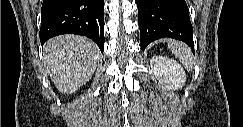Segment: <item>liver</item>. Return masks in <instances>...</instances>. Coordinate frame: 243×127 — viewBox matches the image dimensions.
<instances>
[{
    "mask_svg": "<svg viewBox=\"0 0 243 127\" xmlns=\"http://www.w3.org/2000/svg\"><path fill=\"white\" fill-rule=\"evenodd\" d=\"M43 57L55 87L63 94H69L93 76L100 52L86 37L61 35L46 42Z\"/></svg>",
    "mask_w": 243,
    "mask_h": 127,
    "instance_id": "6515ba94",
    "label": "liver"
}]
</instances>
